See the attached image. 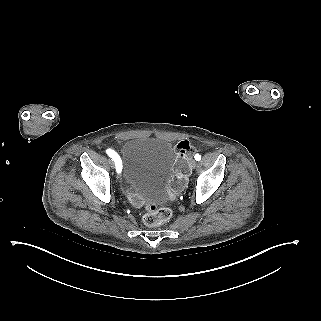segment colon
I'll list each match as a JSON object with an SVG mask.
<instances>
[{"label":"colon","mask_w":321,"mask_h":321,"mask_svg":"<svg viewBox=\"0 0 321 321\" xmlns=\"http://www.w3.org/2000/svg\"><path fill=\"white\" fill-rule=\"evenodd\" d=\"M194 150L188 141H180L176 145V161L174 164V175L171 181V187L174 192L181 190L186 184L187 177L190 173V159ZM132 203L135 206H141V204L133 199ZM172 212L166 207H157L154 204L145 206V213L143 215V222L147 226H160L167 222L171 218Z\"/></svg>","instance_id":"obj_1"}]
</instances>
